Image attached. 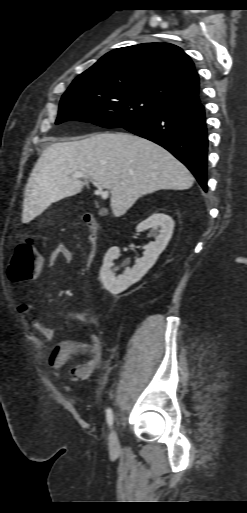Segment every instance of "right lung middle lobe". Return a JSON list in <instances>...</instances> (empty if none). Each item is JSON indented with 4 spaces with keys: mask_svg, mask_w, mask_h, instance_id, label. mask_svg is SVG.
I'll list each match as a JSON object with an SVG mask.
<instances>
[{
    "mask_svg": "<svg viewBox=\"0 0 247 513\" xmlns=\"http://www.w3.org/2000/svg\"><path fill=\"white\" fill-rule=\"evenodd\" d=\"M167 107L160 100L130 90L84 87L72 82L61 98L56 124L67 120H80L105 128H119Z\"/></svg>",
    "mask_w": 247,
    "mask_h": 513,
    "instance_id": "1",
    "label": "right lung middle lobe"
}]
</instances>
